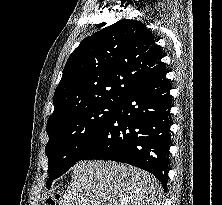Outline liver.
<instances>
[{"instance_id":"1","label":"liver","mask_w":222,"mask_h":205,"mask_svg":"<svg viewBox=\"0 0 222 205\" xmlns=\"http://www.w3.org/2000/svg\"><path fill=\"white\" fill-rule=\"evenodd\" d=\"M162 194L159 181L144 170L89 160L75 164L59 205H161Z\"/></svg>"}]
</instances>
